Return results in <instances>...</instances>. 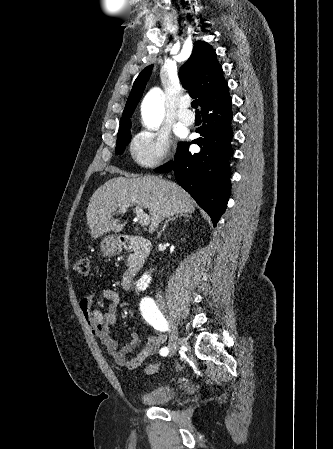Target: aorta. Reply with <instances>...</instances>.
I'll return each instance as SVG.
<instances>
[{"instance_id":"aorta-1","label":"aorta","mask_w":333,"mask_h":449,"mask_svg":"<svg viewBox=\"0 0 333 449\" xmlns=\"http://www.w3.org/2000/svg\"><path fill=\"white\" fill-rule=\"evenodd\" d=\"M141 111L144 124L148 128L154 129L161 124L164 116V98L160 89H153L147 94Z\"/></svg>"}]
</instances>
